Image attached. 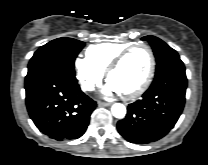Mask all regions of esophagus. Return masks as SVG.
<instances>
[{
    "label": "esophagus",
    "instance_id": "34e87169",
    "mask_svg": "<svg viewBox=\"0 0 208 165\" xmlns=\"http://www.w3.org/2000/svg\"><path fill=\"white\" fill-rule=\"evenodd\" d=\"M111 103L108 102H103V101H98L99 106H109Z\"/></svg>",
    "mask_w": 208,
    "mask_h": 165
}]
</instances>
